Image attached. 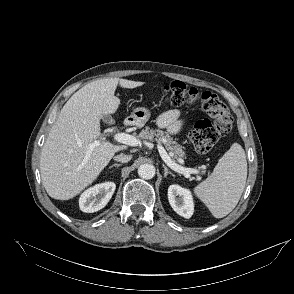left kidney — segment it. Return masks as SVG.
<instances>
[{"label":"left kidney","mask_w":294,"mask_h":294,"mask_svg":"<svg viewBox=\"0 0 294 294\" xmlns=\"http://www.w3.org/2000/svg\"><path fill=\"white\" fill-rule=\"evenodd\" d=\"M168 200L173 210L184 218H190L194 212V203L191 192L179 185H170Z\"/></svg>","instance_id":"1"}]
</instances>
